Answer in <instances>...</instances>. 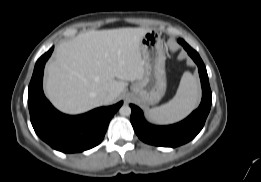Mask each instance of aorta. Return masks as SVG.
Masks as SVG:
<instances>
[{
  "label": "aorta",
  "mask_w": 261,
  "mask_h": 182,
  "mask_svg": "<svg viewBox=\"0 0 261 182\" xmlns=\"http://www.w3.org/2000/svg\"><path fill=\"white\" fill-rule=\"evenodd\" d=\"M119 113L122 116H130L131 114V108L128 105H123L120 109H119Z\"/></svg>",
  "instance_id": "1"
}]
</instances>
